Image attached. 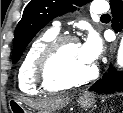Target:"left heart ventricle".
Segmentation results:
<instances>
[{"label": "left heart ventricle", "instance_id": "left-heart-ventricle-1", "mask_svg": "<svg viewBox=\"0 0 123 113\" xmlns=\"http://www.w3.org/2000/svg\"><path fill=\"white\" fill-rule=\"evenodd\" d=\"M93 65L85 60L79 44H69L60 53L55 69L65 80H75L88 75Z\"/></svg>", "mask_w": 123, "mask_h": 113}]
</instances>
